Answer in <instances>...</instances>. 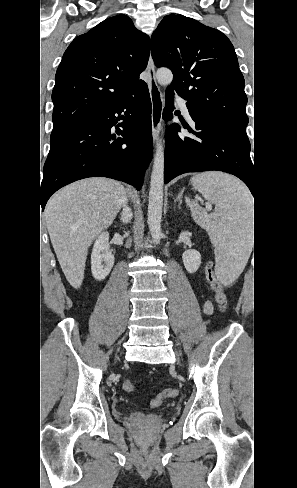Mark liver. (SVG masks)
<instances>
[{
    "label": "liver",
    "instance_id": "6515ba94",
    "mask_svg": "<svg viewBox=\"0 0 297 488\" xmlns=\"http://www.w3.org/2000/svg\"><path fill=\"white\" fill-rule=\"evenodd\" d=\"M125 198V188L119 182L94 177L62 188L48 201L45 218L49 236L73 288L83 282L88 248L113 223Z\"/></svg>",
    "mask_w": 297,
    "mask_h": 488
}]
</instances>
